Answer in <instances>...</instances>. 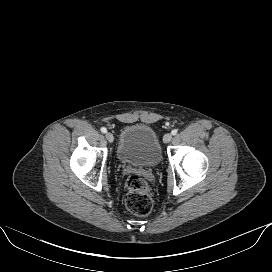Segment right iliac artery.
<instances>
[{
	"mask_svg": "<svg viewBox=\"0 0 272 272\" xmlns=\"http://www.w3.org/2000/svg\"><path fill=\"white\" fill-rule=\"evenodd\" d=\"M101 132H102V133H106V132H107V129H106L105 127H102V128H101Z\"/></svg>",
	"mask_w": 272,
	"mask_h": 272,
	"instance_id": "1",
	"label": "right iliac artery"
}]
</instances>
